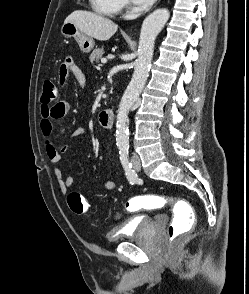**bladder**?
<instances>
[{"label": "bladder", "mask_w": 249, "mask_h": 294, "mask_svg": "<svg viewBox=\"0 0 249 294\" xmlns=\"http://www.w3.org/2000/svg\"><path fill=\"white\" fill-rule=\"evenodd\" d=\"M155 217L151 215H140L131 217L124 222V229L116 232L110 230L106 234L109 244L117 243L126 239L141 238L150 231L155 223Z\"/></svg>", "instance_id": "1"}]
</instances>
